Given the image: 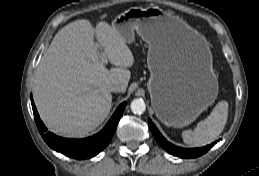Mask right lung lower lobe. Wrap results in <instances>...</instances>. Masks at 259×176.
<instances>
[{
    "mask_svg": "<svg viewBox=\"0 0 259 176\" xmlns=\"http://www.w3.org/2000/svg\"><path fill=\"white\" fill-rule=\"evenodd\" d=\"M31 103L37 128L44 141L52 149L75 159L91 158L101 152L108 145L126 106V102L122 103L117 108L107 125L98 134L85 139L75 140L62 138L51 132H47L45 125L39 117L32 97Z\"/></svg>",
    "mask_w": 259,
    "mask_h": 176,
    "instance_id": "obj_1",
    "label": "right lung lower lobe"
}]
</instances>
